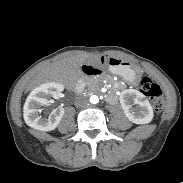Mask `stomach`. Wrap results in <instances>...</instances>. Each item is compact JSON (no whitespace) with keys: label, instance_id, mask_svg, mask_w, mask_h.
<instances>
[{"label":"stomach","instance_id":"stomach-1","mask_svg":"<svg viewBox=\"0 0 183 183\" xmlns=\"http://www.w3.org/2000/svg\"><path fill=\"white\" fill-rule=\"evenodd\" d=\"M105 64L112 74L121 76L129 83L137 84L141 79V68L136 65H132L122 59L116 57H108L105 60Z\"/></svg>","mask_w":183,"mask_h":183}]
</instances>
